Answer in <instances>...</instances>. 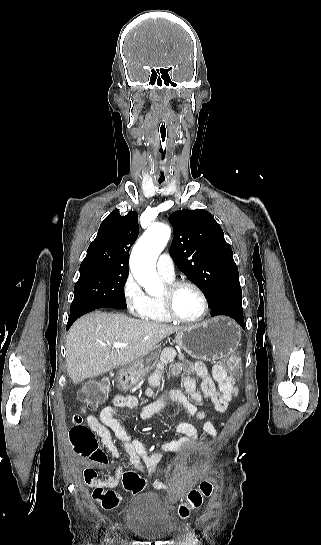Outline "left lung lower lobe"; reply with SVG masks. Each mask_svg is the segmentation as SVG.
Listing matches in <instances>:
<instances>
[{
	"instance_id": "0a47b994",
	"label": "left lung lower lobe",
	"mask_w": 321,
	"mask_h": 545,
	"mask_svg": "<svg viewBox=\"0 0 321 545\" xmlns=\"http://www.w3.org/2000/svg\"><path fill=\"white\" fill-rule=\"evenodd\" d=\"M211 315H226L236 320L245 329L242 311V290H234L223 294L218 300L210 303Z\"/></svg>"
}]
</instances>
